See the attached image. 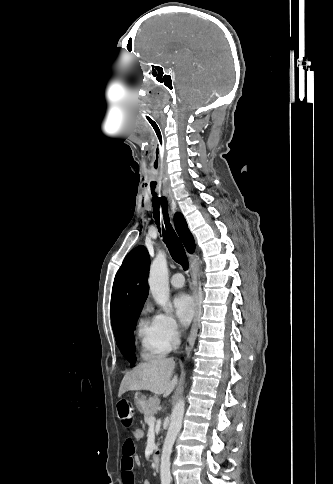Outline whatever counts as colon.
Wrapping results in <instances>:
<instances>
[{
	"label": "colon",
	"instance_id": "1",
	"mask_svg": "<svg viewBox=\"0 0 333 484\" xmlns=\"http://www.w3.org/2000/svg\"><path fill=\"white\" fill-rule=\"evenodd\" d=\"M144 436H145V432H144V430L142 428L137 427V428H135L133 430V438H134V440L140 441V440H142L144 438Z\"/></svg>",
	"mask_w": 333,
	"mask_h": 484
}]
</instances>
